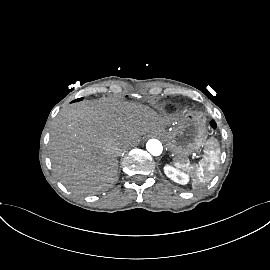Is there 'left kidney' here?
<instances>
[{
  "mask_svg": "<svg viewBox=\"0 0 270 270\" xmlns=\"http://www.w3.org/2000/svg\"><path fill=\"white\" fill-rule=\"evenodd\" d=\"M164 172L167 177H169L170 179H172L174 182L178 184L184 185V184H187L189 181V177L187 174L179 172L178 170H176L174 167L170 165L164 166Z\"/></svg>",
  "mask_w": 270,
  "mask_h": 270,
  "instance_id": "1",
  "label": "left kidney"
}]
</instances>
